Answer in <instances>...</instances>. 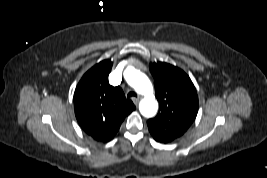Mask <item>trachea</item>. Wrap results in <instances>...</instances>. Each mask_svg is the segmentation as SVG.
Masks as SVG:
<instances>
[{
  "label": "trachea",
  "instance_id": "1",
  "mask_svg": "<svg viewBox=\"0 0 267 178\" xmlns=\"http://www.w3.org/2000/svg\"><path fill=\"white\" fill-rule=\"evenodd\" d=\"M127 97L130 98V97H137V94L134 92V91H130L128 94H127Z\"/></svg>",
  "mask_w": 267,
  "mask_h": 178
}]
</instances>
